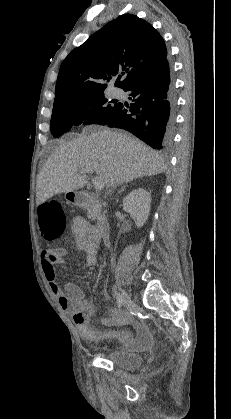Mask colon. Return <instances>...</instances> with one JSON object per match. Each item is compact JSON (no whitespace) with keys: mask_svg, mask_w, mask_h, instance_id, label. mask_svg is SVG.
<instances>
[{"mask_svg":"<svg viewBox=\"0 0 231 419\" xmlns=\"http://www.w3.org/2000/svg\"><path fill=\"white\" fill-rule=\"evenodd\" d=\"M39 214L44 237L47 240L56 239L66 223L62 206L59 203L44 202L39 207ZM91 312L90 307H85L82 310L84 316L90 315Z\"/></svg>","mask_w":231,"mask_h":419,"instance_id":"colon-1","label":"colon"}]
</instances>
